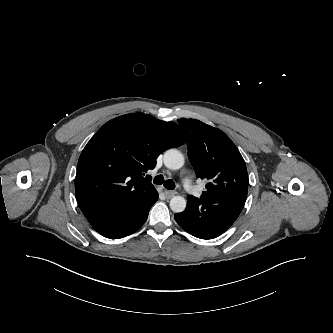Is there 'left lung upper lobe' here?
<instances>
[{
  "label": "left lung upper lobe",
  "instance_id": "5c2ea615",
  "mask_svg": "<svg viewBox=\"0 0 333 333\" xmlns=\"http://www.w3.org/2000/svg\"><path fill=\"white\" fill-rule=\"evenodd\" d=\"M178 122L187 135L188 155L196 174L208 182L202 195L249 184L245 161L224 132L195 119Z\"/></svg>",
  "mask_w": 333,
  "mask_h": 333
}]
</instances>
